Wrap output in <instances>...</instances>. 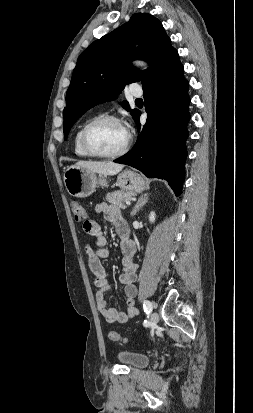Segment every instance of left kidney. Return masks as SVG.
<instances>
[{"mask_svg": "<svg viewBox=\"0 0 253 413\" xmlns=\"http://www.w3.org/2000/svg\"><path fill=\"white\" fill-rule=\"evenodd\" d=\"M149 220L150 222H154L155 221V212H151L149 215Z\"/></svg>", "mask_w": 253, "mask_h": 413, "instance_id": "5707ae66", "label": "left kidney"}]
</instances>
